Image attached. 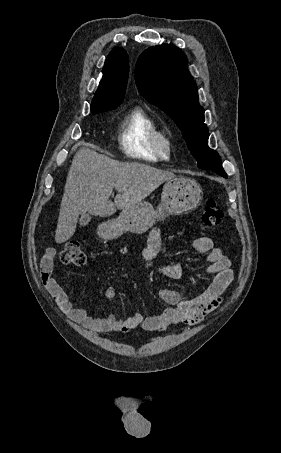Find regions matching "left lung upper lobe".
<instances>
[{"label": "left lung upper lobe", "instance_id": "1", "mask_svg": "<svg viewBox=\"0 0 281 453\" xmlns=\"http://www.w3.org/2000/svg\"><path fill=\"white\" fill-rule=\"evenodd\" d=\"M141 95L168 114L182 131L198 167L224 172L219 154L208 147L204 109L197 86L187 70V58L177 47L163 44L146 49L135 68Z\"/></svg>", "mask_w": 281, "mask_h": 453}]
</instances>
